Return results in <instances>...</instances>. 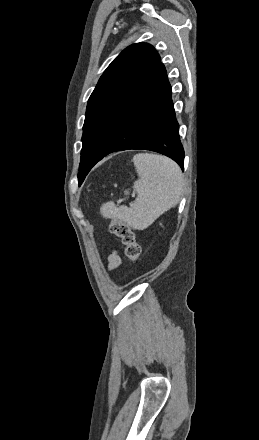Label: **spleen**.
Returning <instances> with one entry per match:
<instances>
[{
	"instance_id": "3e777b00",
	"label": "spleen",
	"mask_w": 259,
	"mask_h": 440,
	"mask_svg": "<svg viewBox=\"0 0 259 440\" xmlns=\"http://www.w3.org/2000/svg\"><path fill=\"white\" fill-rule=\"evenodd\" d=\"M139 179L134 182L136 200L127 207L112 201L100 209L106 218L120 220L133 229L149 227L160 215L173 208L183 193V177L179 166L171 159L157 154L138 153L133 157ZM125 194L129 192L126 190Z\"/></svg>"
}]
</instances>
